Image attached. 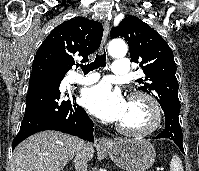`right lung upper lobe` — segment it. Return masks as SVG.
<instances>
[{
  "label": "right lung upper lobe",
  "mask_w": 199,
  "mask_h": 171,
  "mask_svg": "<svg viewBox=\"0 0 199 171\" xmlns=\"http://www.w3.org/2000/svg\"><path fill=\"white\" fill-rule=\"evenodd\" d=\"M103 26L98 21L72 18L55 27L39 47L33 61L31 77H64L74 64L73 56H88L101 43Z\"/></svg>",
  "instance_id": "obj_1"
}]
</instances>
